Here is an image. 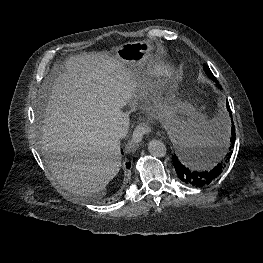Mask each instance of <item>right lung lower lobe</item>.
I'll list each match as a JSON object with an SVG mask.
<instances>
[{
	"instance_id": "right-lung-lower-lobe-1",
	"label": "right lung lower lobe",
	"mask_w": 263,
	"mask_h": 263,
	"mask_svg": "<svg viewBox=\"0 0 263 263\" xmlns=\"http://www.w3.org/2000/svg\"><path fill=\"white\" fill-rule=\"evenodd\" d=\"M130 162L129 163H126V167L129 169L130 168Z\"/></svg>"
}]
</instances>
